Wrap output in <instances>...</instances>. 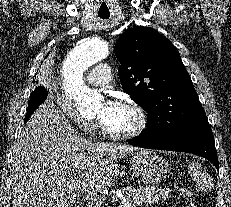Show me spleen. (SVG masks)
Masks as SVG:
<instances>
[{
  "instance_id": "obj_1",
  "label": "spleen",
  "mask_w": 231,
  "mask_h": 207,
  "mask_svg": "<svg viewBox=\"0 0 231 207\" xmlns=\"http://www.w3.org/2000/svg\"><path fill=\"white\" fill-rule=\"evenodd\" d=\"M189 173L194 178V181H196L198 184H202L203 182V175H202V168L199 163L192 162L189 165Z\"/></svg>"
}]
</instances>
